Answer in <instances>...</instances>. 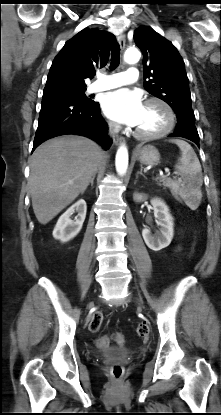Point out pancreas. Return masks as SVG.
I'll return each mask as SVG.
<instances>
[{"label":"pancreas","mask_w":221,"mask_h":415,"mask_svg":"<svg viewBox=\"0 0 221 415\" xmlns=\"http://www.w3.org/2000/svg\"><path fill=\"white\" fill-rule=\"evenodd\" d=\"M159 182H160L159 185H163L164 187L169 184V181L167 179H165V178H161L159 180ZM172 194L174 195V197H176V198L178 197L175 192H172Z\"/></svg>","instance_id":"1"}]
</instances>
